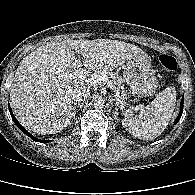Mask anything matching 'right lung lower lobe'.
I'll use <instances>...</instances> for the list:
<instances>
[{
  "instance_id": "1",
  "label": "right lung lower lobe",
  "mask_w": 195,
  "mask_h": 195,
  "mask_svg": "<svg viewBox=\"0 0 195 195\" xmlns=\"http://www.w3.org/2000/svg\"><path fill=\"white\" fill-rule=\"evenodd\" d=\"M8 107H9V111H10V114L12 116V119L13 121L15 122V124L18 126V128L23 132L25 133L27 136H29L32 140L36 141V142H43V143H46V142H49V141H45V140H39L37 139L36 137L32 136L27 130H25L20 124L19 122L17 121V119L15 118V116L13 115L12 113V110H11V107L10 105L8 104Z\"/></svg>"
}]
</instances>
